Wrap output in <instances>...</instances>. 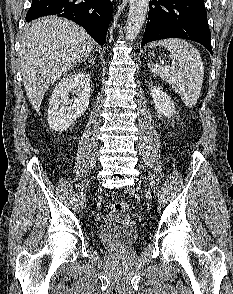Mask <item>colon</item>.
<instances>
[{
  "label": "colon",
  "instance_id": "5ec220e1",
  "mask_svg": "<svg viewBox=\"0 0 233 294\" xmlns=\"http://www.w3.org/2000/svg\"><path fill=\"white\" fill-rule=\"evenodd\" d=\"M131 209V205L127 201H120L113 205V210L117 213H126Z\"/></svg>",
  "mask_w": 233,
  "mask_h": 294
}]
</instances>
